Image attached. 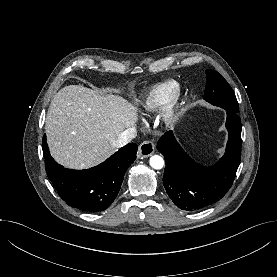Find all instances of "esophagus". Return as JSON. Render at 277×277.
<instances>
[{"label":"esophagus","mask_w":277,"mask_h":277,"mask_svg":"<svg viewBox=\"0 0 277 277\" xmlns=\"http://www.w3.org/2000/svg\"><path fill=\"white\" fill-rule=\"evenodd\" d=\"M155 151V144L153 141H144L140 144L138 149V157L143 159L151 156Z\"/></svg>","instance_id":"34e87169"}]
</instances>
